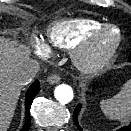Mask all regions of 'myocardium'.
Returning a JSON list of instances; mask_svg holds the SVG:
<instances>
[{
  "mask_svg": "<svg viewBox=\"0 0 131 131\" xmlns=\"http://www.w3.org/2000/svg\"><path fill=\"white\" fill-rule=\"evenodd\" d=\"M109 30L116 31V39L112 46L104 52L97 51L100 37ZM123 41V34L115 24L105 23L90 32L72 50V60L76 67L86 73L96 72L109 65L116 56Z\"/></svg>",
  "mask_w": 131,
  "mask_h": 131,
  "instance_id": "1",
  "label": "myocardium"
}]
</instances>
